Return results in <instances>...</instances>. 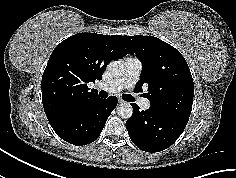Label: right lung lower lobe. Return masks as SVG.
I'll list each match as a JSON object with an SVG mask.
<instances>
[{
  "mask_svg": "<svg viewBox=\"0 0 236 178\" xmlns=\"http://www.w3.org/2000/svg\"><path fill=\"white\" fill-rule=\"evenodd\" d=\"M117 102L114 96L106 100L99 98L84 110L50 123L51 127L60 138L73 145L92 143L99 137Z\"/></svg>",
  "mask_w": 236,
  "mask_h": 178,
  "instance_id": "98d812e1",
  "label": "right lung lower lobe"
}]
</instances>
